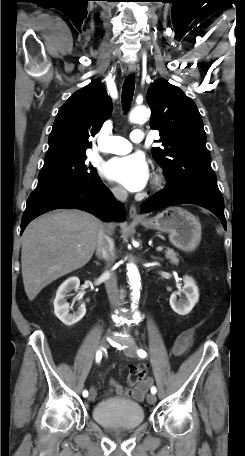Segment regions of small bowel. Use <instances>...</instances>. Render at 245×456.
<instances>
[{
  "label": "small bowel",
  "instance_id": "obj_1",
  "mask_svg": "<svg viewBox=\"0 0 245 456\" xmlns=\"http://www.w3.org/2000/svg\"><path fill=\"white\" fill-rule=\"evenodd\" d=\"M195 336V329L188 328L183 330L178 337L176 338L175 342L172 345V353L175 356H182L184 355L189 348L191 347ZM111 389L110 392H114L120 396H132L137 400H142L144 398L145 393L147 392L148 388L152 384L151 379H146L145 381L141 382L138 386L133 389H127L121 386L114 380L110 381Z\"/></svg>",
  "mask_w": 245,
  "mask_h": 456
}]
</instances>
